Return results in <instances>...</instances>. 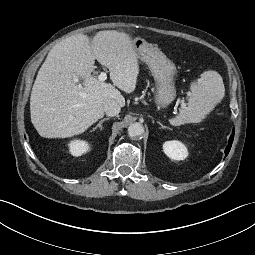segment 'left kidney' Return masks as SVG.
Segmentation results:
<instances>
[{"label": "left kidney", "instance_id": "1", "mask_svg": "<svg viewBox=\"0 0 255 255\" xmlns=\"http://www.w3.org/2000/svg\"><path fill=\"white\" fill-rule=\"evenodd\" d=\"M164 153L172 160H184L188 156L186 146L180 141H166L163 144Z\"/></svg>", "mask_w": 255, "mask_h": 255}]
</instances>
